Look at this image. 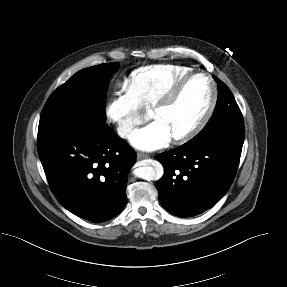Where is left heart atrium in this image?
<instances>
[{
	"instance_id": "obj_1",
	"label": "left heart atrium",
	"mask_w": 287,
	"mask_h": 287,
	"mask_svg": "<svg viewBox=\"0 0 287 287\" xmlns=\"http://www.w3.org/2000/svg\"><path fill=\"white\" fill-rule=\"evenodd\" d=\"M171 137L169 129L159 120H154L143 128L136 130L130 141L138 149L151 151L166 146Z\"/></svg>"
}]
</instances>
